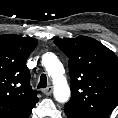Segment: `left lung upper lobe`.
Here are the masks:
<instances>
[{"mask_svg":"<svg viewBox=\"0 0 118 118\" xmlns=\"http://www.w3.org/2000/svg\"><path fill=\"white\" fill-rule=\"evenodd\" d=\"M54 43L69 57L71 99L65 113L107 118L118 104V58L99 41L80 36Z\"/></svg>","mask_w":118,"mask_h":118,"instance_id":"1","label":"left lung upper lobe"}]
</instances>
